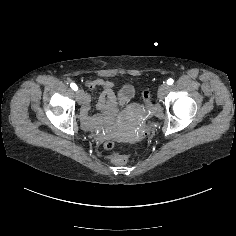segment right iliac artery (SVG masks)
<instances>
[{
	"label": "right iliac artery",
	"mask_w": 236,
	"mask_h": 236,
	"mask_svg": "<svg viewBox=\"0 0 236 236\" xmlns=\"http://www.w3.org/2000/svg\"><path fill=\"white\" fill-rule=\"evenodd\" d=\"M70 87L74 90V91H77L78 90V87L75 83H71L70 84Z\"/></svg>",
	"instance_id": "1"
}]
</instances>
